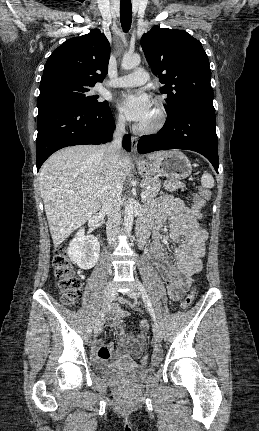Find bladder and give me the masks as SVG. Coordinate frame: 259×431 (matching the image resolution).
Masks as SVG:
<instances>
[{
  "instance_id": "bladder-1",
  "label": "bladder",
  "mask_w": 259,
  "mask_h": 431,
  "mask_svg": "<svg viewBox=\"0 0 259 431\" xmlns=\"http://www.w3.org/2000/svg\"><path fill=\"white\" fill-rule=\"evenodd\" d=\"M153 371V368H139L130 362L121 361L113 365L104 366L101 368V372L108 375H120V374H137L145 375Z\"/></svg>"
}]
</instances>
